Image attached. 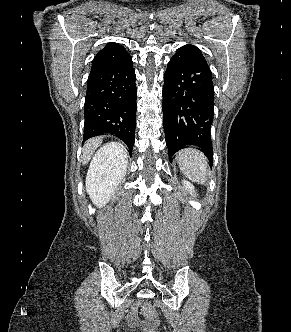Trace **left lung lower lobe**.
Wrapping results in <instances>:
<instances>
[{"instance_id":"0a47b994","label":"left lung lower lobe","mask_w":291,"mask_h":332,"mask_svg":"<svg viewBox=\"0 0 291 332\" xmlns=\"http://www.w3.org/2000/svg\"><path fill=\"white\" fill-rule=\"evenodd\" d=\"M164 81L163 126L169 158L183 146L195 145L212 163L214 86L201 50L180 47L167 64Z\"/></svg>"}]
</instances>
